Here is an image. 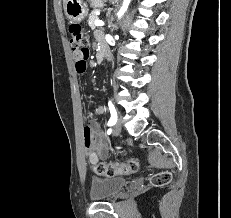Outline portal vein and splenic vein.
Segmentation results:
<instances>
[{
	"mask_svg": "<svg viewBox=\"0 0 231 218\" xmlns=\"http://www.w3.org/2000/svg\"><path fill=\"white\" fill-rule=\"evenodd\" d=\"M94 25H95V26H104V22L101 21V20H96V21L94 22Z\"/></svg>",
	"mask_w": 231,
	"mask_h": 218,
	"instance_id": "portal-vein-and-splenic-vein-1",
	"label": "portal vein and splenic vein"
}]
</instances>
